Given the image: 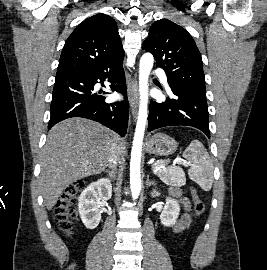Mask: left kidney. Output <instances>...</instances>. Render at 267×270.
Returning a JSON list of instances; mask_svg holds the SVG:
<instances>
[{
	"instance_id": "5707ae66",
	"label": "left kidney",
	"mask_w": 267,
	"mask_h": 270,
	"mask_svg": "<svg viewBox=\"0 0 267 270\" xmlns=\"http://www.w3.org/2000/svg\"><path fill=\"white\" fill-rule=\"evenodd\" d=\"M164 181L166 182V180H164ZM151 194L153 197L159 195V193L156 192L155 190ZM179 212H180L179 203L175 199L167 197L166 204H165L164 209L160 215L161 223L166 227H170V226L174 225L177 221L178 216H179Z\"/></svg>"
}]
</instances>
